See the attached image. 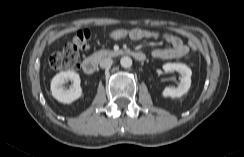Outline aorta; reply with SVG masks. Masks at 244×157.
Listing matches in <instances>:
<instances>
[{
  "label": "aorta",
  "mask_w": 244,
  "mask_h": 157,
  "mask_svg": "<svg viewBox=\"0 0 244 157\" xmlns=\"http://www.w3.org/2000/svg\"><path fill=\"white\" fill-rule=\"evenodd\" d=\"M120 64L123 68H130L132 66V59L128 56H124L121 58Z\"/></svg>",
  "instance_id": "aorta-1"
}]
</instances>
